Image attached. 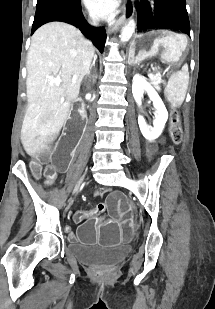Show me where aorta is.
<instances>
[{"mask_svg":"<svg viewBox=\"0 0 215 309\" xmlns=\"http://www.w3.org/2000/svg\"><path fill=\"white\" fill-rule=\"evenodd\" d=\"M135 28H136V22L132 18V20H129V22H127V24L123 26L120 34V40H122V42H126V40H129L133 32H135Z\"/></svg>","mask_w":215,"mask_h":309,"instance_id":"762f6f07","label":"aorta"}]
</instances>
